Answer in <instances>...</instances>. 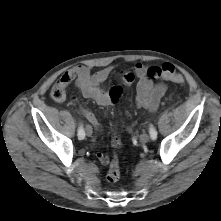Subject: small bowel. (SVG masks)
Returning a JSON list of instances; mask_svg holds the SVG:
<instances>
[{"mask_svg":"<svg viewBox=\"0 0 221 221\" xmlns=\"http://www.w3.org/2000/svg\"><path fill=\"white\" fill-rule=\"evenodd\" d=\"M113 71L112 66H106L99 71L92 73L90 68L84 65H77L73 69L65 72L59 81L67 88L73 81L85 98L91 99L98 105L107 107L113 105L115 101L112 99L110 90L102 88V83L107 80ZM121 79L125 84L136 83V105L140 108L147 109L150 112L156 111L160 99L167 91V87L163 83H154L147 76V66L144 63H137L134 68L123 71ZM85 118L96 128L101 134V125L93 113L88 108H82ZM121 146V143L119 147ZM97 160L104 166L109 165L110 158L103 152L96 153Z\"/></svg>","mask_w":221,"mask_h":221,"instance_id":"obj_1","label":"small bowel"}]
</instances>
